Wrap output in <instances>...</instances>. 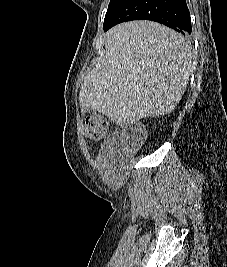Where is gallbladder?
<instances>
[{
    "mask_svg": "<svg viewBox=\"0 0 227 267\" xmlns=\"http://www.w3.org/2000/svg\"><path fill=\"white\" fill-rule=\"evenodd\" d=\"M83 111H84L85 113H90L92 110H91L90 108H83Z\"/></svg>",
    "mask_w": 227,
    "mask_h": 267,
    "instance_id": "obj_1",
    "label": "gallbladder"
}]
</instances>
